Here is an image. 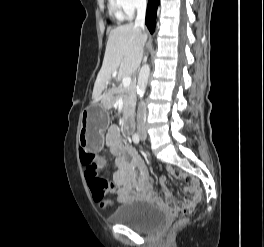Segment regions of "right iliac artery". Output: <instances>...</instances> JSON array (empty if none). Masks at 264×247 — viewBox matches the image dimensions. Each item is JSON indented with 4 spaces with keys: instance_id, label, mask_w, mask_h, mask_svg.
I'll list each match as a JSON object with an SVG mask.
<instances>
[{
    "instance_id": "right-iliac-artery-1",
    "label": "right iliac artery",
    "mask_w": 264,
    "mask_h": 247,
    "mask_svg": "<svg viewBox=\"0 0 264 247\" xmlns=\"http://www.w3.org/2000/svg\"><path fill=\"white\" fill-rule=\"evenodd\" d=\"M132 139H133V142H134V143L138 144L139 141H140L139 134H138V133H135V134L133 135Z\"/></svg>"
}]
</instances>
